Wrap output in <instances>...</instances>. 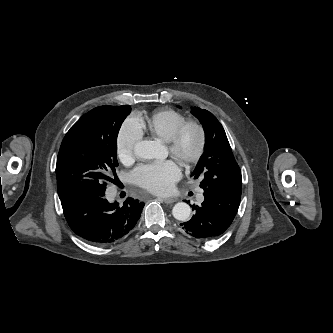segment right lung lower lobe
<instances>
[{"mask_svg": "<svg viewBox=\"0 0 333 333\" xmlns=\"http://www.w3.org/2000/svg\"><path fill=\"white\" fill-rule=\"evenodd\" d=\"M61 204L72 231L94 245H108L126 236L144 207V202L130 197L119 205L98 195L64 200Z\"/></svg>", "mask_w": 333, "mask_h": 333, "instance_id": "98d812e1", "label": "right lung lower lobe"}]
</instances>
